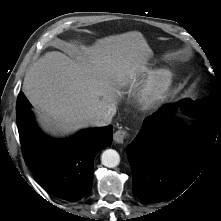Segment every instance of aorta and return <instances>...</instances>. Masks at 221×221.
Returning <instances> with one entry per match:
<instances>
[{
  "label": "aorta",
  "instance_id": "obj_1",
  "mask_svg": "<svg viewBox=\"0 0 221 221\" xmlns=\"http://www.w3.org/2000/svg\"><path fill=\"white\" fill-rule=\"evenodd\" d=\"M102 164L108 168H114L120 163V156L116 150L107 149L101 156Z\"/></svg>",
  "mask_w": 221,
  "mask_h": 221
}]
</instances>
